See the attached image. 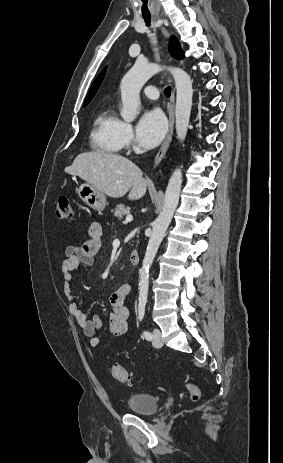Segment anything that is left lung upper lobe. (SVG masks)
Segmentation results:
<instances>
[{"label": "left lung upper lobe", "mask_w": 283, "mask_h": 463, "mask_svg": "<svg viewBox=\"0 0 283 463\" xmlns=\"http://www.w3.org/2000/svg\"><path fill=\"white\" fill-rule=\"evenodd\" d=\"M169 51L170 53L177 59L182 58V50L181 47L176 40V38L172 37L169 45Z\"/></svg>", "instance_id": "1"}]
</instances>
